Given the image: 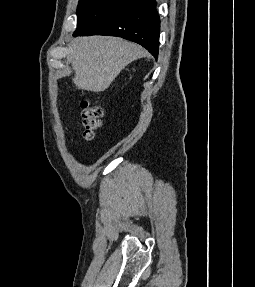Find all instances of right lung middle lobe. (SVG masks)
Returning a JSON list of instances; mask_svg holds the SVG:
<instances>
[{"instance_id": "right-lung-middle-lobe-1", "label": "right lung middle lobe", "mask_w": 255, "mask_h": 287, "mask_svg": "<svg viewBox=\"0 0 255 287\" xmlns=\"http://www.w3.org/2000/svg\"><path fill=\"white\" fill-rule=\"evenodd\" d=\"M130 3L131 0H79L77 29L74 34L85 31L117 9Z\"/></svg>"}]
</instances>
